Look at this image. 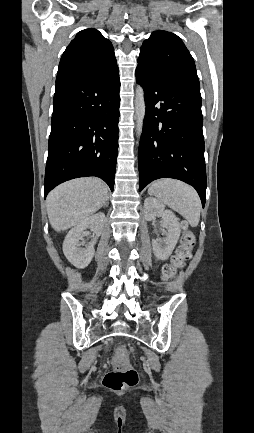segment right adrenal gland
<instances>
[{"instance_id": "right-adrenal-gland-1", "label": "right adrenal gland", "mask_w": 254, "mask_h": 433, "mask_svg": "<svg viewBox=\"0 0 254 433\" xmlns=\"http://www.w3.org/2000/svg\"><path fill=\"white\" fill-rule=\"evenodd\" d=\"M109 205V198H107L106 203L104 204V206L108 207Z\"/></svg>"}]
</instances>
